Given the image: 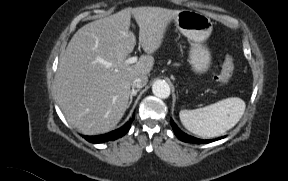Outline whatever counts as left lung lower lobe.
<instances>
[{
    "label": "left lung lower lobe",
    "mask_w": 288,
    "mask_h": 181,
    "mask_svg": "<svg viewBox=\"0 0 288 181\" xmlns=\"http://www.w3.org/2000/svg\"><path fill=\"white\" fill-rule=\"evenodd\" d=\"M170 124L173 128L175 135L183 142L195 143V144H204V143H210V142L219 140L221 138H224V137H219V138L213 139V140H203V139L195 138V137L190 136V135L184 133L183 131H181L173 120L170 121Z\"/></svg>",
    "instance_id": "left-lung-lower-lobe-1"
}]
</instances>
